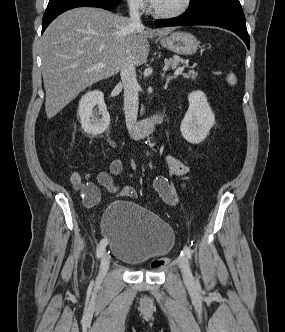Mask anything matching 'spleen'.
<instances>
[{
  "label": "spleen",
  "mask_w": 285,
  "mask_h": 332,
  "mask_svg": "<svg viewBox=\"0 0 285 332\" xmlns=\"http://www.w3.org/2000/svg\"><path fill=\"white\" fill-rule=\"evenodd\" d=\"M227 82H228L230 85H235V84L237 83L236 76H235L233 73H230V74L227 76Z\"/></svg>",
  "instance_id": "1"
}]
</instances>
